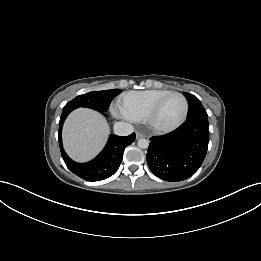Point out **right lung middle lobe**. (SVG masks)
<instances>
[{"label": "right lung middle lobe", "mask_w": 261, "mask_h": 261, "mask_svg": "<svg viewBox=\"0 0 261 261\" xmlns=\"http://www.w3.org/2000/svg\"><path fill=\"white\" fill-rule=\"evenodd\" d=\"M120 92V89L89 92L75 97L73 100L68 102L63 109L86 107L99 112H105L112 99Z\"/></svg>", "instance_id": "1"}]
</instances>
